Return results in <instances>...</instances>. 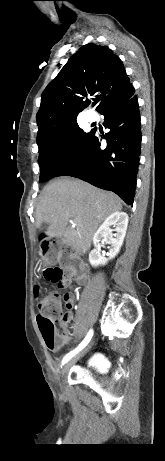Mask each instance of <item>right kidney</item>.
<instances>
[{
	"label": "right kidney",
	"instance_id": "ca27d5eb",
	"mask_svg": "<svg viewBox=\"0 0 165 461\" xmlns=\"http://www.w3.org/2000/svg\"><path fill=\"white\" fill-rule=\"evenodd\" d=\"M127 225L128 215L125 212H114L105 219L93 238L95 249L89 254V261L93 267L105 265L109 259L114 258L118 254L123 244ZM111 227L115 229H111ZM112 231L116 232L114 237ZM100 242L111 245L108 259L104 257V252L101 255Z\"/></svg>",
	"mask_w": 165,
	"mask_h": 461
}]
</instances>
